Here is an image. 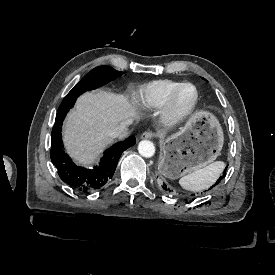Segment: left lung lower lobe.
I'll list each match as a JSON object with an SVG mask.
<instances>
[{
	"instance_id": "left-lung-lower-lobe-1",
	"label": "left lung lower lobe",
	"mask_w": 275,
	"mask_h": 275,
	"mask_svg": "<svg viewBox=\"0 0 275 275\" xmlns=\"http://www.w3.org/2000/svg\"><path fill=\"white\" fill-rule=\"evenodd\" d=\"M225 172H226V169L224 170L223 172V175L216 181V183L210 187L208 190H211L213 187H215L224 177H225ZM162 188L165 190V191H170V189L167 187V185L165 183L162 184Z\"/></svg>"
}]
</instances>
